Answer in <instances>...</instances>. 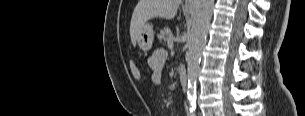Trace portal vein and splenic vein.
Returning a JSON list of instances; mask_svg holds the SVG:
<instances>
[{
	"mask_svg": "<svg viewBox=\"0 0 305 116\" xmlns=\"http://www.w3.org/2000/svg\"><path fill=\"white\" fill-rule=\"evenodd\" d=\"M167 45H168V47H169L170 49L173 47V39H172V38H169V39H168Z\"/></svg>",
	"mask_w": 305,
	"mask_h": 116,
	"instance_id": "portal-vein-and-splenic-vein-1",
	"label": "portal vein and splenic vein"
}]
</instances>
